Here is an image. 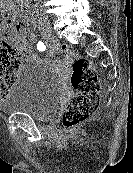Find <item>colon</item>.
<instances>
[{"instance_id":"1","label":"colon","mask_w":133,"mask_h":173,"mask_svg":"<svg viewBox=\"0 0 133 173\" xmlns=\"http://www.w3.org/2000/svg\"><path fill=\"white\" fill-rule=\"evenodd\" d=\"M28 31V24L15 20L10 13L0 20V100L5 98L22 59L13 42ZM62 50L72 54L66 46ZM73 56L70 73L73 95L61 119L65 128H72L89 119L99 104L100 84L93 63L84 57Z\"/></svg>"}]
</instances>
